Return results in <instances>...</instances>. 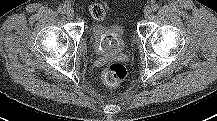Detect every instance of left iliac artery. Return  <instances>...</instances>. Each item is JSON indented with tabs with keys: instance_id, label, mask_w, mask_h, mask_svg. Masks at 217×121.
<instances>
[{
	"instance_id": "44dca946",
	"label": "left iliac artery",
	"mask_w": 217,
	"mask_h": 121,
	"mask_svg": "<svg viewBox=\"0 0 217 121\" xmlns=\"http://www.w3.org/2000/svg\"><path fill=\"white\" fill-rule=\"evenodd\" d=\"M160 9V6L158 5V4H153L152 6H151V10L153 11V12H156V11H158Z\"/></svg>"
}]
</instances>
